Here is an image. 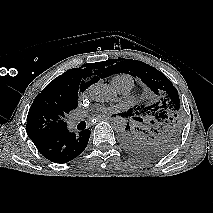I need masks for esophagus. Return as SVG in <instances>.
<instances>
[{
	"label": "esophagus",
	"mask_w": 213,
	"mask_h": 213,
	"mask_svg": "<svg viewBox=\"0 0 213 213\" xmlns=\"http://www.w3.org/2000/svg\"><path fill=\"white\" fill-rule=\"evenodd\" d=\"M105 119H113V117H111V116H106V117H97V118H96L97 121H101V120H105Z\"/></svg>",
	"instance_id": "obj_1"
}]
</instances>
